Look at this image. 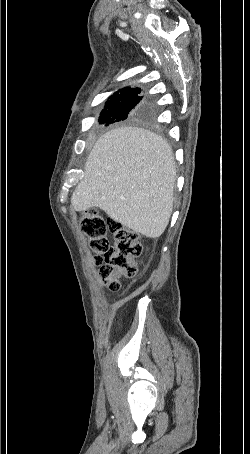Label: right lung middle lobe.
I'll list each match as a JSON object with an SVG mask.
<instances>
[{"label":"right lung middle lobe","mask_w":250,"mask_h":454,"mask_svg":"<svg viewBox=\"0 0 250 454\" xmlns=\"http://www.w3.org/2000/svg\"><path fill=\"white\" fill-rule=\"evenodd\" d=\"M155 116L151 101L139 88H131L110 98L99 117V124L106 126L118 122H149Z\"/></svg>","instance_id":"dd1d6c3e"}]
</instances>
